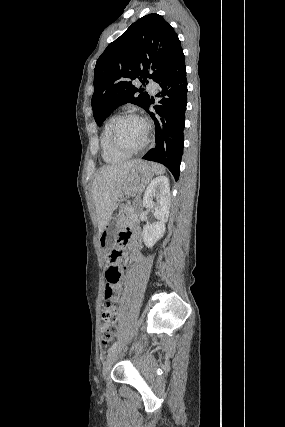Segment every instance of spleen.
I'll use <instances>...</instances> for the list:
<instances>
[{
	"mask_svg": "<svg viewBox=\"0 0 285 427\" xmlns=\"http://www.w3.org/2000/svg\"><path fill=\"white\" fill-rule=\"evenodd\" d=\"M152 166V171L156 174V175H161L165 172V168L157 163H151Z\"/></svg>",
	"mask_w": 285,
	"mask_h": 427,
	"instance_id": "spleen-1",
	"label": "spleen"
}]
</instances>
